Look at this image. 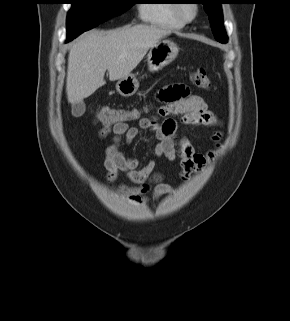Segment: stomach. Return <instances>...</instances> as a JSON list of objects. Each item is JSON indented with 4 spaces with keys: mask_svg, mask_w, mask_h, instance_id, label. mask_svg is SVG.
Returning <instances> with one entry per match:
<instances>
[{
    "mask_svg": "<svg viewBox=\"0 0 290 321\" xmlns=\"http://www.w3.org/2000/svg\"><path fill=\"white\" fill-rule=\"evenodd\" d=\"M179 49L170 40L160 39L153 45L147 55V65L150 72H157L171 63L178 55ZM139 81L134 74L120 79L116 83V90L120 95L129 97L136 93Z\"/></svg>",
    "mask_w": 290,
    "mask_h": 321,
    "instance_id": "1",
    "label": "stomach"
}]
</instances>
